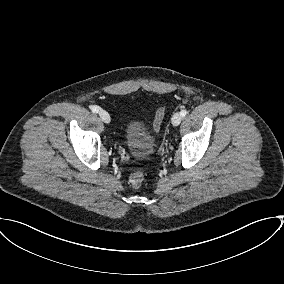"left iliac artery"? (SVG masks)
Here are the masks:
<instances>
[{"label": "left iliac artery", "instance_id": "44dca946", "mask_svg": "<svg viewBox=\"0 0 284 284\" xmlns=\"http://www.w3.org/2000/svg\"><path fill=\"white\" fill-rule=\"evenodd\" d=\"M180 114L182 115V117H184L187 114V110H182Z\"/></svg>", "mask_w": 284, "mask_h": 284}]
</instances>
